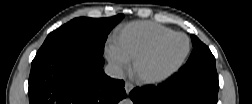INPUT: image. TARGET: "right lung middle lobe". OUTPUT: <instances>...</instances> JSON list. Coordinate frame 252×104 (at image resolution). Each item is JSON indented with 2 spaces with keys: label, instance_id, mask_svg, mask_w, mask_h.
Wrapping results in <instances>:
<instances>
[{
  "label": "right lung middle lobe",
  "instance_id": "dd1d6c3e",
  "mask_svg": "<svg viewBox=\"0 0 252 104\" xmlns=\"http://www.w3.org/2000/svg\"><path fill=\"white\" fill-rule=\"evenodd\" d=\"M122 18L123 14L101 19L75 18L51 32L36 56L65 48H80L102 55L109 32Z\"/></svg>",
  "mask_w": 252,
  "mask_h": 104
}]
</instances>
